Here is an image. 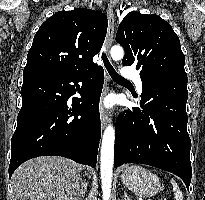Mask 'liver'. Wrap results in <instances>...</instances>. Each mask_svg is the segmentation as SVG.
Here are the masks:
<instances>
[{
  "label": "liver",
  "mask_w": 205,
  "mask_h": 200,
  "mask_svg": "<svg viewBox=\"0 0 205 200\" xmlns=\"http://www.w3.org/2000/svg\"><path fill=\"white\" fill-rule=\"evenodd\" d=\"M80 165L62 157L42 156L20 165L12 175L14 200H77Z\"/></svg>",
  "instance_id": "obj_1"
}]
</instances>
